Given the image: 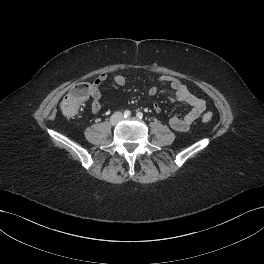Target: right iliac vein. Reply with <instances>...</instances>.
<instances>
[{"instance_id":"1","label":"right iliac vein","mask_w":264,"mask_h":264,"mask_svg":"<svg viewBox=\"0 0 264 264\" xmlns=\"http://www.w3.org/2000/svg\"><path fill=\"white\" fill-rule=\"evenodd\" d=\"M121 119H122V114L121 113H116V114L113 115L111 121H112L113 124H116Z\"/></svg>"}]
</instances>
